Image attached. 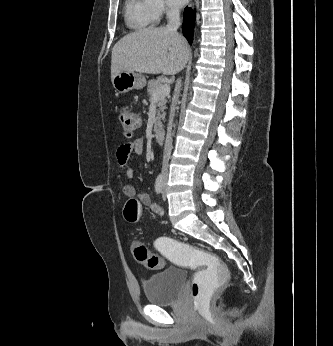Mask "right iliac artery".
Segmentation results:
<instances>
[{"instance_id":"obj_1","label":"right iliac artery","mask_w":333,"mask_h":346,"mask_svg":"<svg viewBox=\"0 0 333 346\" xmlns=\"http://www.w3.org/2000/svg\"><path fill=\"white\" fill-rule=\"evenodd\" d=\"M163 186H164V177L163 174H159L156 182H155V191L157 194H160L163 190Z\"/></svg>"}]
</instances>
